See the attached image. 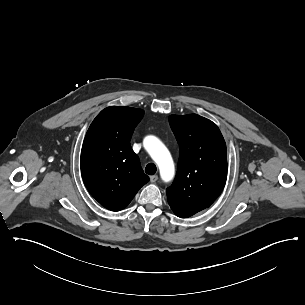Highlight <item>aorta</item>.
<instances>
[{
	"label": "aorta",
	"instance_id": "aorta-1",
	"mask_svg": "<svg viewBox=\"0 0 305 305\" xmlns=\"http://www.w3.org/2000/svg\"><path fill=\"white\" fill-rule=\"evenodd\" d=\"M143 144L151 158L157 163L161 179L164 182L172 180L175 167L171 154L165 145L155 136H147Z\"/></svg>",
	"mask_w": 305,
	"mask_h": 305
}]
</instances>
